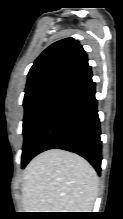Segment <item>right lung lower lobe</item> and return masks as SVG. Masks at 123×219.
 Returning <instances> with one entry per match:
<instances>
[{"instance_id": "right-lung-lower-lobe-1", "label": "right lung lower lobe", "mask_w": 123, "mask_h": 219, "mask_svg": "<svg viewBox=\"0 0 123 219\" xmlns=\"http://www.w3.org/2000/svg\"><path fill=\"white\" fill-rule=\"evenodd\" d=\"M100 134L95 83L89 69L70 81L50 109L32 145L31 159L49 149H63L84 157L100 174Z\"/></svg>"}]
</instances>
